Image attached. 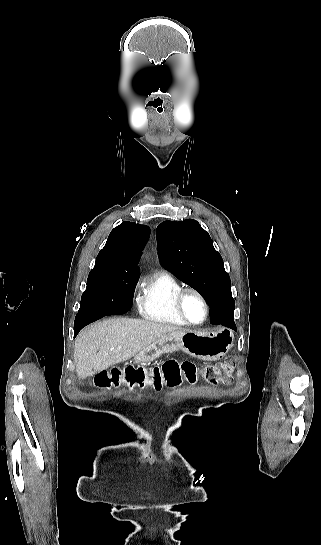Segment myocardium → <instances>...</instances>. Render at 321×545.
Instances as JSON below:
<instances>
[{
  "label": "myocardium",
  "mask_w": 321,
  "mask_h": 545,
  "mask_svg": "<svg viewBox=\"0 0 321 545\" xmlns=\"http://www.w3.org/2000/svg\"><path fill=\"white\" fill-rule=\"evenodd\" d=\"M187 293H194L195 295H197L199 297V299L201 300L203 306H204V316L202 318L201 321L199 322H193L191 321L184 313L183 311V299L185 297V295ZM172 307H173V311H174V314L176 315V317L182 322L184 323L186 326H190V327H197V326H201L203 325L208 317H209V314H210V307H209V304H208V301L206 299V297L204 296V294L198 290L197 288H194V287H183L181 288L180 290H178L174 297H173V304H172Z\"/></svg>",
  "instance_id": "f54148a6"
}]
</instances>
